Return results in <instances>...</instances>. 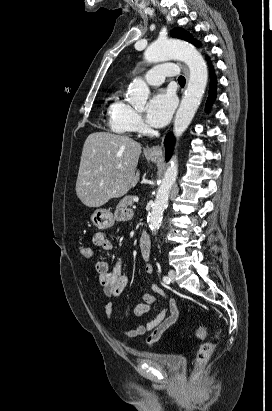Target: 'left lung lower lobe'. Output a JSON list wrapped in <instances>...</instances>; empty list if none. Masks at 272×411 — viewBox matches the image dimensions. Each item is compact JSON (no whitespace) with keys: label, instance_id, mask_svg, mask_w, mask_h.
Wrapping results in <instances>:
<instances>
[{"label":"left lung lower lobe","instance_id":"left-lung-lower-lobe-1","mask_svg":"<svg viewBox=\"0 0 272 411\" xmlns=\"http://www.w3.org/2000/svg\"><path fill=\"white\" fill-rule=\"evenodd\" d=\"M210 87H209V97L206 103L207 110L209 109V106L211 103L214 101L216 97V77L214 75V70L212 66H210ZM173 144H174V137L172 134H169L166 139H165V145H166V160H169L171 157L172 149H173Z\"/></svg>","mask_w":272,"mask_h":411}]
</instances>
